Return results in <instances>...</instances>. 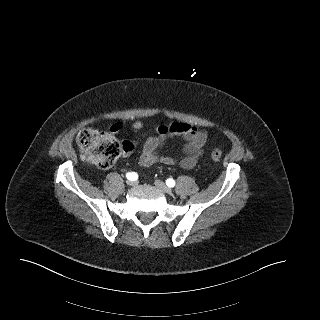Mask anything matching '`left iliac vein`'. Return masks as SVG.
<instances>
[{
	"mask_svg": "<svg viewBox=\"0 0 320 320\" xmlns=\"http://www.w3.org/2000/svg\"><path fill=\"white\" fill-rule=\"evenodd\" d=\"M155 185L160 189L162 190L164 193H167V194H171L172 193V189L169 188L163 181L161 180H155Z\"/></svg>",
	"mask_w": 320,
	"mask_h": 320,
	"instance_id": "4c4485c4",
	"label": "left iliac vein"
}]
</instances>
